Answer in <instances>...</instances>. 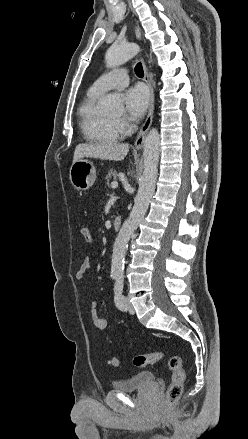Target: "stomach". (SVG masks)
<instances>
[{"instance_id":"stomach-1","label":"stomach","mask_w":248,"mask_h":439,"mask_svg":"<svg viewBox=\"0 0 248 439\" xmlns=\"http://www.w3.org/2000/svg\"><path fill=\"white\" fill-rule=\"evenodd\" d=\"M69 178L74 188L77 190H87L95 182L96 169L91 161L87 159H79L72 164Z\"/></svg>"}]
</instances>
